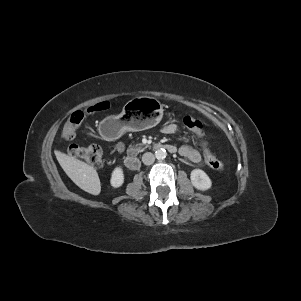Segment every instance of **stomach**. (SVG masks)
Wrapping results in <instances>:
<instances>
[{
  "instance_id": "obj_1",
  "label": "stomach",
  "mask_w": 301,
  "mask_h": 301,
  "mask_svg": "<svg viewBox=\"0 0 301 301\" xmlns=\"http://www.w3.org/2000/svg\"><path fill=\"white\" fill-rule=\"evenodd\" d=\"M161 109L162 105L154 98H133L119 115L104 119L100 127L107 139L115 140L127 131H142L156 126L162 118Z\"/></svg>"
}]
</instances>
